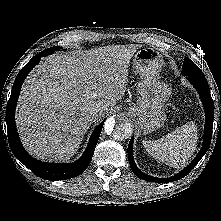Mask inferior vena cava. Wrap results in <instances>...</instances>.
Returning a JSON list of instances; mask_svg holds the SVG:
<instances>
[{"instance_id": "1", "label": "inferior vena cava", "mask_w": 221, "mask_h": 221, "mask_svg": "<svg viewBox=\"0 0 221 221\" xmlns=\"http://www.w3.org/2000/svg\"><path fill=\"white\" fill-rule=\"evenodd\" d=\"M99 118V113L97 112H94L93 115H92V120H97Z\"/></svg>"}]
</instances>
